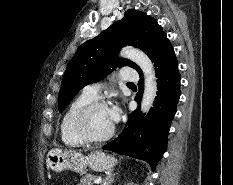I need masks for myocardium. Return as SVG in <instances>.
Instances as JSON below:
<instances>
[{"label": "myocardium", "mask_w": 233, "mask_h": 185, "mask_svg": "<svg viewBox=\"0 0 233 185\" xmlns=\"http://www.w3.org/2000/svg\"><path fill=\"white\" fill-rule=\"evenodd\" d=\"M97 108H107V105L102 101H91L85 105L76 115L74 120V128L78 137L85 143H102L109 140L115 133V126L104 136L94 137L87 128V119L90 113Z\"/></svg>", "instance_id": "obj_1"}]
</instances>
